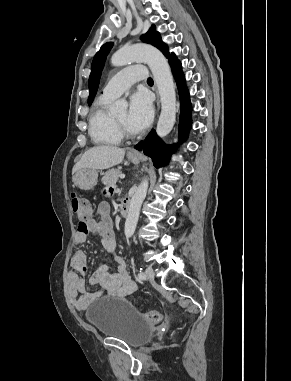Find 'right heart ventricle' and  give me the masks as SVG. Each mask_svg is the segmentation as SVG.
Listing matches in <instances>:
<instances>
[{
	"mask_svg": "<svg viewBox=\"0 0 291 381\" xmlns=\"http://www.w3.org/2000/svg\"><path fill=\"white\" fill-rule=\"evenodd\" d=\"M113 99L100 96L93 104L89 114V135L94 144L113 146L121 143L123 137L118 133L109 106Z\"/></svg>",
	"mask_w": 291,
	"mask_h": 381,
	"instance_id": "1",
	"label": "right heart ventricle"
}]
</instances>
